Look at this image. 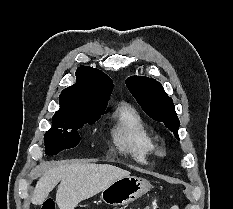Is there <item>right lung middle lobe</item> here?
Instances as JSON below:
<instances>
[{"label": "right lung middle lobe", "instance_id": "right-lung-middle-lobe-1", "mask_svg": "<svg viewBox=\"0 0 233 209\" xmlns=\"http://www.w3.org/2000/svg\"><path fill=\"white\" fill-rule=\"evenodd\" d=\"M103 113L104 110H78L53 116V129L51 128L44 135L46 153L55 155L78 145L80 142L78 129L85 123H95Z\"/></svg>", "mask_w": 233, "mask_h": 209}]
</instances>
